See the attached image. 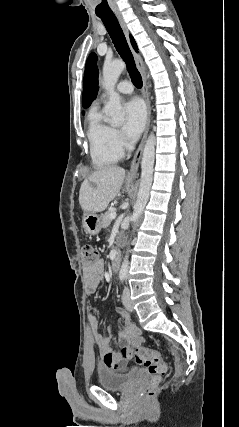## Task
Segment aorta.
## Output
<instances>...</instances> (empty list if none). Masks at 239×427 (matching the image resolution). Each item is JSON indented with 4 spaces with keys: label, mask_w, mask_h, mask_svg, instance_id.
<instances>
[{
    "label": "aorta",
    "mask_w": 239,
    "mask_h": 427,
    "mask_svg": "<svg viewBox=\"0 0 239 427\" xmlns=\"http://www.w3.org/2000/svg\"><path fill=\"white\" fill-rule=\"evenodd\" d=\"M126 67L124 61L116 60L111 63L104 64L103 67V80L102 85L109 93V102L105 107V113L111 118V123L113 125H120L124 122L125 112L121 105V98L119 94L115 91V85L118 81V78L124 68ZM155 158V139L151 134L145 144L143 157L141 162V178H140V188L137 195L136 203L134 204V211L132 214L133 222H137L139 217L144 211V208L148 202L150 188L153 178V166ZM128 250L126 252L125 258L122 262L120 269V276L126 277L129 270V261H128Z\"/></svg>",
    "instance_id": "762f6f07"
}]
</instances>
